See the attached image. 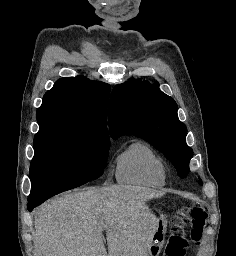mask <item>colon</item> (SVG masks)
I'll use <instances>...</instances> for the list:
<instances>
[{
	"mask_svg": "<svg viewBox=\"0 0 236 256\" xmlns=\"http://www.w3.org/2000/svg\"><path fill=\"white\" fill-rule=\"evenodd\" d=\"M207 210L200 203H194L182 208L174 219L172 231L164 250V256H185L188 248V240L181 228V223L190 221V238L198 246L201 243L203 232L207 223Z\"/></svg>",
	"mask_w": 236,
	"mask_h": 256,
	"instance_id": "colon-1",
	"label": "colon"
}]
</instances>
